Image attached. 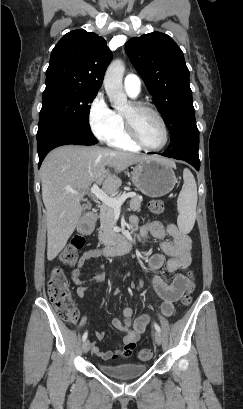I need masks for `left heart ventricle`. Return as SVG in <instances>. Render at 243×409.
Returning a JSON list of instances; mask_svg holds the SVG:
<instances>
[{
    "label": "left heart ventricle",
    "mask_w": 243,
    "mask_h": 409,
    "mask_svg": "<svg viewBox=\"0 0 243 409\" xmlns=\"http://www.w3.org/2000/svg\"><path fill=\"white\" fill-rule=\"evenodd\" d=\"M128 116L141 139L149 146H159L164 141V133L158 119L149 111L141 110L133 112L129 104L121 111Z\"/></svg>",
    "instance_id": "b2bd125f"
}]
</instances>
